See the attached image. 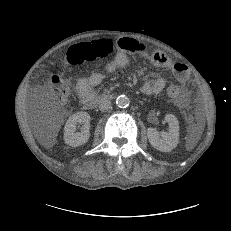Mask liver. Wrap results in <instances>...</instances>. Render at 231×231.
Listing matches in <instances>:
<instances>
[{"label": "liver", "mask_w": 231, "mask_h": 231, "mask_svg": "<svg viewBox=\"0 0 231 231\" xmlns=\"http://www.w3.org/2000/svg\"><path fill=\"white\" fill-rule=\"evenodd\" d=\"M59 126H56L55 127V132L53 134V136H50V139H47V140H41V143L45 146V147H49L51 145H53V141H54V138L56 136V133H57V130H58ZM53 139V140H52Z\"/></svg>", "instance_id": "6515ba94"}]
</instances>
